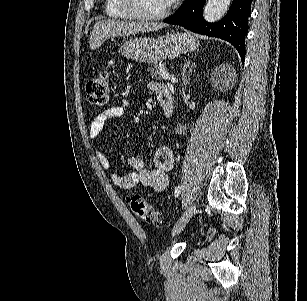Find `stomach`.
Instances as JSON below:
<instances>
[{
    "label": "stomach",
    "mask_w": 307,
    "mask_h": 301,
    "mask_svg": "<svg viewBox=\"0 0 307 301\" xmlns=\"http://www.w3.org/2000/svg\"><path fill=\"white\" fill-rule=\"evenodd\" d=\"M199 46L192 32H167L164 36H134L126 40L120 52L125 58L137 62H163L180 52H191Z\"/></svg>",
    "instance_id": "obj_1"
}]
</instances>
